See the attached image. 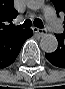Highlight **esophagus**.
Listing matches in <instances>:
<instances>
[{"label": "esophagus", "instance_id": "34e87169", "mask_svg": "<svg viewBox=\"0 0 65 89\" xmlns=\"http://www.w3.org/2000/svg\"><path fill=\"white\" fill-rule=\"evenodd\" d=\"M33 32L40 35V36H44L47 32L45 30L42 29H38V28H33Z\"/></svg>", "mask_w": 65, "mask_h": 89}]
</instances>
